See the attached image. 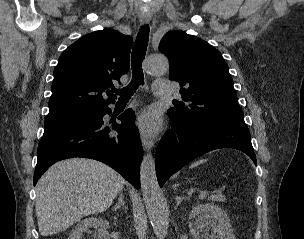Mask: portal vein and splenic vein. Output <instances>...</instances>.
Listing matches in <instances>:
<instances>
[{"label": "portal vein and splenic vein", "instance_id": "1", "mask_svg": "<svg viewBox=\"0 0 304 239\" xmlns=\"http://www.w3.org/2000/svg\"><path fill=\"white\" fill-rule=\"evenodd\" d=\"M207 192H201V196H206Z\"/></svg>", "mask_w": 304, "mask_h": 239}]
</instances>
